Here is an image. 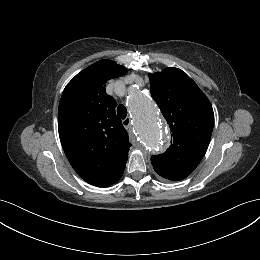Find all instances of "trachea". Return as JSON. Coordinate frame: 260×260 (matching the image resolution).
I'll list each match as a JSON object with an SVG mask.
<instances>
[{"mask_svg": "<svg viewBox=\"0 0 260 260\" xmlns=\"http://www.w3.org/2000/svg\"><path fill=\"white\" fill-rule=\"evenodd\" d=\"M117 115L121 119H125L127 116V109L124 105H119L117 108Z\"/></svg>", "mask_w": 260, "mask_h": 260, "instance_id": "obj_1", "label": "trachea"}]
</instances>
